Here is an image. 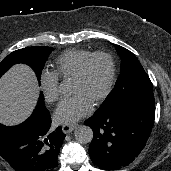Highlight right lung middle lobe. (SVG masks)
Masks as SVG:
<instances>
[{
  "instance_id": "dd1d6c3e",
  "label": "right lung middle lobe",
  "mask_w": 171,
  "mask_h": 171,
  "mask_svg": "<svg viewBox=\"0 0 171 171\" xmlns=\"http://www.w3.org/2000/svg\"><path fill=\"white\" fill-rule=\"evenodd\" d=\"M52 50L53 48L51 47L37 46V47H28V48L19 49L10 53L0 63V77L14 64L26 63L27 65L31 66L34 69L38 79L40 80L41 71ZM38 105L45 107L44 97L42 93Z\"/></svg>"
}]
</instances>
